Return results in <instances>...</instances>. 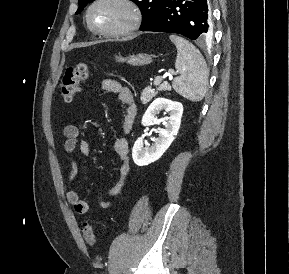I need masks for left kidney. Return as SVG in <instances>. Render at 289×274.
<instances>
[{
	"instance_id": "5707ae66",
	"label": "left kidney",
	"mask_w": 289,
	"mask_h": 274,
	"mask_svg": "<svg viewBox=\"0 0 289 274\" xmlns=\"http://www.w3.org/2000/svg\"><path fill=\"white\" fill-rule=\"evenodd\" d=\"M161 111L169 113L164 120L167 121L165 128L158 129V138L151 146L144 145L143 138H138L132 149V158L136 165L145 166L158 160L171 145L178 133L183 114V105L176 101L165 98L155 99L142 117V125L149 126L157 121V115Z\"/></svg>"
}]
</instances>
